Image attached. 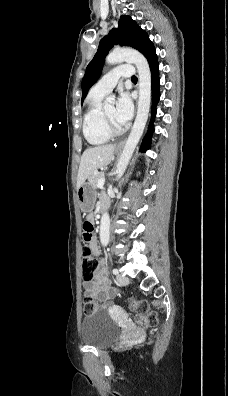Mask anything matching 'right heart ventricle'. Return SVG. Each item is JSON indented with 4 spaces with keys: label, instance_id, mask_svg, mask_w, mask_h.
Listing matches in <instances>:
<instances>
[{
    "label": "right heart ventricle",
    "instance_id": "e07e8e85",
    "mask_svg": "<svg viewBox=\"0 0 228 396\" xmlns=\"http://www.w3.org/2000/svg\"><path fill=\"white\" fill-rule=\"evenodd\" d=\"M101 95L90 92L87 98V109L83 117V135L91 145L99 146L107 143L109 136L104 128L102 120V109L100 106Z\"/></svg>",
    "mask_w": 228,
    "mask_h": 396
}]
</instances>
